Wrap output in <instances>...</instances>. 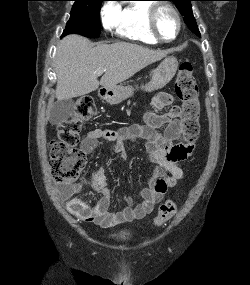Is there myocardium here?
I'll return each mask as SVG.
<instances>
[{
	"label": "myocardium",
	"instance_id": "obj_1",
	"mask_svg": "<svg viewBox=\"0 0 250 285\" xmlns=\"http://www.w3.org/2000/svg\"><path fill=\"white\" fill-rule=\"evenodd\" d=\"M162 9H167L169 11H171L178 23V29L177 32L175 34L174 37L170 38V39H166L163 38L157 29V18H158V14ZM182 26H183V22H182V18L181 15L179 13V11L171 4L169 3H156L153 4L150 8L149 11V15H148V30L150 35L158 42L160 43H170L173 42L174 40H176L178 38V36L181 33L182 30Z\"/></svg>",
	"mask_w": 250,
	"mask_h": 285
}]
</instances>
